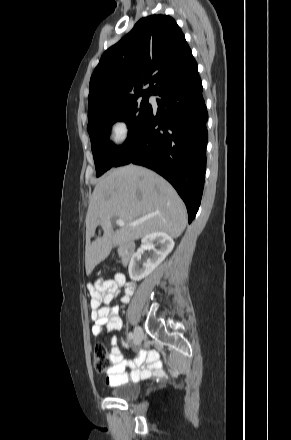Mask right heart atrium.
I'll return each instance as SVG.
<instances>
[{
	"instance_id": "right-heart-atrium-1",
	"label": "right heart atrium",
	"mask_w": 291,
	"mask_h": 440,
	"mask_svg": "<svg viewBox=\"0 0 291 440\" xmlns=\"http://www.w3.org/2000/svg\"><path fill=\"white\" fill-rule=\"evenodd\" d=\"M128 136V128L125 122L117 120L110 125L109 137L115 146L125 144Z\"/></svg>"
}]
</instances>
